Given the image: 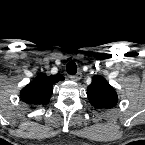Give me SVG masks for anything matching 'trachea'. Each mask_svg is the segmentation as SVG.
Masks as SVG:
<instances>
[{
    "label": "trachea",
    "instance_id": "1",
    "mask_svg": "<svg viewBox=\"0 0 145 145\" xmlns=\"http://www.w3.org/2000/svg\"><path fill=\"white\" fill-rule=\"evenodd\" d=\"M67 73L70 75H75L77 72V65L74 61H69L66 66Z\"/></svg>",
    "mask_w": 145,
    "mask_h": 145
}]
</instances>
